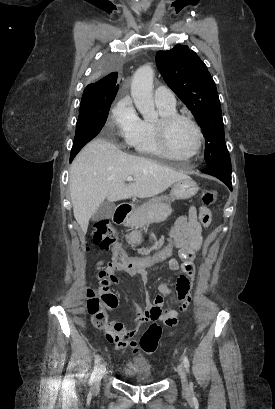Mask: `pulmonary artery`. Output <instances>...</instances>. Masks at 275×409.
<instances>
[{
    "mask_svg": "<svg viewBox=\"0 0 275 409\" xmlns=\"http://www.w3.org/2000/svg\"><path fill=\"white\" fill-rule=\"evenodd\" d=\"M154 100L158 107L174 109L176 106L175 95L170 91L168 85L155 86Z\"/></svg>",
    "mask_w": 275,
    "mask_h": 409,
    "instance_id": "obj_1",
    "label": "pulmonary artery"
}]
</instances>
